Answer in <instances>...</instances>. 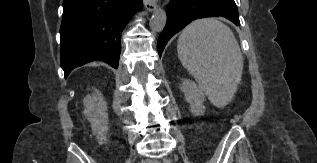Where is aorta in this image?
Listing matches in <instances>:
<instances>
[{
    "label": "aorta",
    "mask_w": 317,
    "mask_h": 163,
    "mask_svg": "<svg viewBox=\"0 0 317 163\" xmlns=\"http://www.w3.org/2000/svg\"><path fill=\"white\" fill-rule=\"evenodd\" d=\"M166 21L167 16L165 11L163 9H157L154 11L150 19L149 26L152 31L161 32L166 25Z\"/></svg>",
    "instance_id": "762f6f07"
}]
</instances>
